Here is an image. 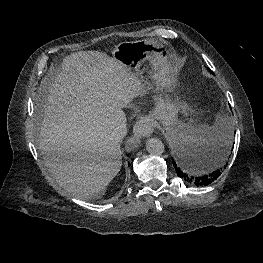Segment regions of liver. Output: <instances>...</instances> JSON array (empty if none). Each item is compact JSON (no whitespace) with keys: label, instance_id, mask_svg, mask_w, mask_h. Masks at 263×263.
Instances as JSON below:
<instances>
[{"label":"liver","instance_id":"liver-1","mask_svg":"<svg viewBox=\"0 0 263 263\" xmlns=\"http://www.w3.org/2000/svg\"><path fill=\"white\" fill-rule=\"evenodd\" d=\"M62 71L46 76L48 89L39 149L57 183L77 197L102 196L122 165L119 141L110 137L124 108L144 94L137 75L98 51L64 58Z\"/></svg>","mask_w":263,"mask_h":263}]
</instances>
